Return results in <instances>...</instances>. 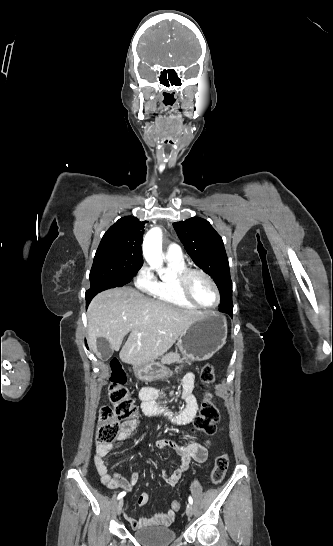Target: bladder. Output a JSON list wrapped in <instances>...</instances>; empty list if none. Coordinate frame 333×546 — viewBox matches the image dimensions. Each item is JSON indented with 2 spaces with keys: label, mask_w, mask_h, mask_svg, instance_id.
Segmentation results:
<instances>
[{
  "label": "bladder",
  "mask_w": 333,
  "mask_h": 546,
  "mask_svg": "<svg viewBox=\"0 0 333 546\" xmlns=\"http://www.w3.org/2000/svg\"><path fill=\"white\" fill-rule=\"evenodd\" d=\"M134 537L143 546H168L176 539V532L166 526H148L136 530Z\"/></svg>",
  "instance_id": "obj_1"
}]
</instances>
